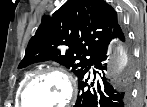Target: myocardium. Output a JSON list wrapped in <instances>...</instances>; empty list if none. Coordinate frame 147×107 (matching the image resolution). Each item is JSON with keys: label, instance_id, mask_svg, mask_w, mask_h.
I'll return each mask as SVG.
<instances>
[{"label": "myocardium", "instance_id": "obj_1", "mask_svg": "<svg viewBox=\"0 0 147 107\" xmlns=\"http://www.w3.org/2000/svg\"><path fill=\"white\" fill-rule=\"evenodd\" d=\"M48 74H52V75H58L60 77H62L67 86H68V95L66 100L59 106H54V107H67L69 106L75 99L76 96V84L75 81L73 80V78L66 73L64 70L60 69V68H56V67H48L45 69H41L38 71H35L33 74L30 75V77L27 79V81L24 83V85L22 86L20 93H19V104L22 107H29L26 103V93L27 90L29 89V87L34 83V81L39 78L40 76L43 75H48Z\"/></svg>", "mask_w": 147, "mask_h": 107}]
</instances>
